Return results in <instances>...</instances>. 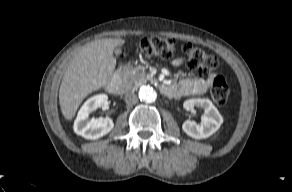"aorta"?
<instances>
[{
	"mask_svg": "<svg viewBox=\"0 0 292 192\" xmlns=\"http://www.w3.org/2000/svg\"><path fill=\"white\" fill-rule=\"evenodd\" d=\"M139 99L144 103H152L157 98L155 89L151 86H143L138 92Z\"/></svg>",
	"mask_w": 292,
	"mask_h": 192,
	"instance_id": "762f6f07",
	"label": "aorta"
}]
</instances>
